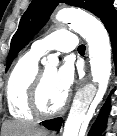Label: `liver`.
<instances>
[{
    "label": "liver",
    "instance_id": "liver-1",
    "mask_svg": "<svg viewBox=\"0 0 117 136\" xmlns=\"http://www.w3.org/2000/svg\"><path fill=\"white\" fill-rule=\"evenodd\" d=\"M3 131V136H47L44 129L38 128L31 122H6L3 125Z\"/></svg>",
    "mask_w": 117,
    "mask_h": 136
}]
</instances>
